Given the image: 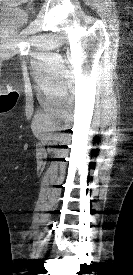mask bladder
I'll list each match as a JSON object with an SVG mask.
<instances>
[{"label":"bladder","instance_id":"obj_1","mask_svg":"<svg viewBox=\"0 0 133 275\" xmlns=\"http://www.w3.org/2000/svg\"><path fill=\"white\" fill-rule=\"evenodd\" d=\"M18 0H0V25L8 30H14L29 19V13L16 6Z\"/></svg>","mask_w":133,"mask_h":275}]
</instances>
